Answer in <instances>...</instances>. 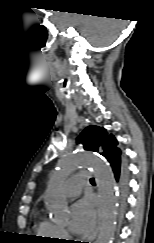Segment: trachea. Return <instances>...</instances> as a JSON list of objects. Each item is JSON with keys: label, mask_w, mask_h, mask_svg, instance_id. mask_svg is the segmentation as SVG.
<instances>
[{"label": "trachea", "mask_w": 154, "mask_h": 243, "mask_svg": "<svg viewBox=\"0 0 154 243\" xmlns=\"http://www.w3.org/2000/svg\"><path fill=\"white\" fill-rule=\"evenodd\" d=\"M94 181H95L94 178H91V179H90V182H94Z\"/></svg>", "instance_id": "3493384b"}]
</instances>
